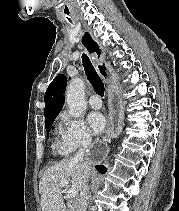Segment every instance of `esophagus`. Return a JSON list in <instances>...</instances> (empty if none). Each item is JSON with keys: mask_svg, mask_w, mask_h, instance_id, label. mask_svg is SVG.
Masks as SVG:
<instances>
[{"mask_svg": "<svg viewBox=\"0 0 179 211\" xmlns=\"http://www.w3.org/2000/svg\"><path fill=\"white\" fill-rule=\"evenodd\" d=\"M83 45L91 53V56L95 57L98 75H101L102 79H105L106 82H111L112 79H116V74L108 75V70H106V64H103L106 61L105 52H101L100 45H97L92 37L86 33L82 38ZM109 94H111V101H109L110 108V128H108V133L110 138L114 137L113 133H121L123 130V121H126V116L124 112H121V109H124V104H122V98L118 94V89L115 86L109 87ZM107 149V144H93V147H90V151H87L86 159L87 163H100V159H103Z\"/></svg>", "mask_w": 179, "mask_h": 211, "instance_id": "34e87169", "label": "esophagus"}]
</instances>
